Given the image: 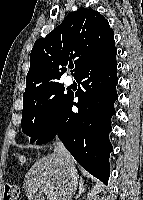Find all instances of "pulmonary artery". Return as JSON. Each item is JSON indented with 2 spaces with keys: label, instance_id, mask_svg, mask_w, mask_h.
I'll return each mask as SVG.
<instances>
[{
  "label": "pulmonary artery",
  "instance_id": "pulmonary-artery-1",
  "mask_svg": "<svg viewBox=\"0 0 143 200\" xmlns=\"http://www.w3.org/2000/svg\"><path fill=\"white\" fill-rule=\"evenodd\" d=\"M65 83H66L67 85H71V84L73 83L72 78H71V77H67V78L65 79Z\"/></svg>",
  "mask_w": 143,
  "mask_h": 200
}]
</instances>
